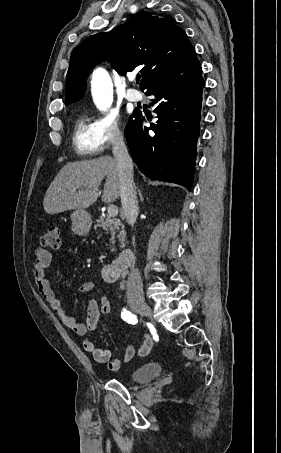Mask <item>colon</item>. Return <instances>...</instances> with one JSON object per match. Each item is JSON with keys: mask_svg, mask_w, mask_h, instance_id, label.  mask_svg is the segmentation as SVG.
<instances>
[{"mask_svg": "<svg viewBox=\"0 0 281 453\" xmlns=\"http://www.w3.org/2000/svg\"><path fill=\"white\" fill-rule=\"evenodd\" d=\"M60 226H48L46 232L42 234L39 245H43L47 251L57 248V239L60 233Z\"/></svg>", "mask_w": 281, "mask_h": 453, "instance_id": "obj_1", "label": "colon"}]
</instances>
